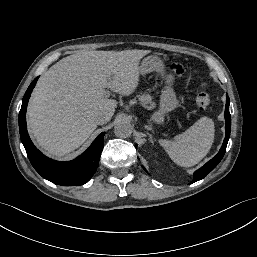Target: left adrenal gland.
Segmentation results:
<instances>
[{
    "label": "left adrenal gland",
    "instance_id": "obj_1",
    "mask_svg": "<svg viewBox=\"0 0 257 257\" xmlns=\"http://www.w3.org/2000/svg\"><path fill=\"white\" fill-rule=\"evenodd\" d=\"M147 134H148V136H149L150 141L153 143V137H152V135L149 134V133H147Z\"/></svg>",
    "mask_w": 257,
    "mask_h": 257
}]
</instances>
